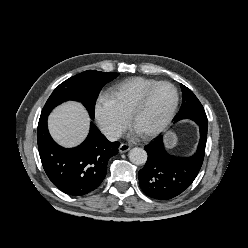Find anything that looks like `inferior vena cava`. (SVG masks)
Returning a JSON list of instances; mask_svg holds the SVG:
<instances>
[{
	"label": "inferior vena cava",
	"instance_id": "inferior-vena-cava-1",
	"mask_svg": "<svg viewBox=\"0 0 248 248\" xmlns=\"http://www.w3.org/2000/svg\"><path fill=\"white\" fill-rule=\"evenodd\" d=\"M105 137L109 141H117L120 138V132L118 130L112 129V128H107L103 131Z\"/></svg>",
	"mask_w": 248,
	"mask_h": 248
}]
</instances>
